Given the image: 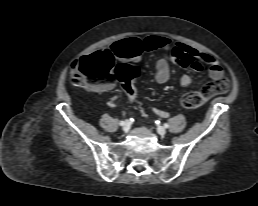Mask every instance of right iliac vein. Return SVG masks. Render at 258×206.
I'll return each mask as SVG.
<instances>
[{
    "label": "right iliac vein",
    "mask_w": 258,
    "mask_h": 206,
    "mask_svg": "<svg viewBox=\"0 0 258 206\" xmlns=\"http://www.w3.org/2000/svg\"><path fill=\"white\" fill-rule=\"evenodd\" d=\"M122 129H123L124 132L129 131V129H130V122L129 121H125V123L122 126Z\"/></svg>",
    "instance_id": "right-iliac-vein-1"
}]
</instances>
